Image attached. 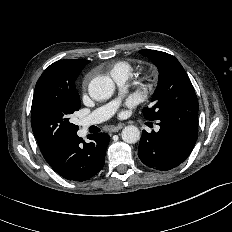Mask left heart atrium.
I'll return each mask as SVG.
<instances>
[{"label": "left heart atrium", "mask_w": 232, "mask_h": 232, "mask_svg": "<svg viewBox=\"0 0 232 232\" xmlns=\"http://www.w3.org/2000/svg\"><path fill=\"white\" fill-rule=\"evenodd\" d=\"M129 105H132L135 103V100L134 99H129L128 102H127Z\"/></svg>", "instance_id": "1"}]
</instances>
